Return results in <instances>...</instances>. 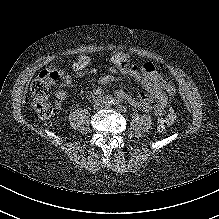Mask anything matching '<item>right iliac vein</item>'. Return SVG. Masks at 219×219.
<instances>
[{"instance_id": "obj_1", "label": "right iliac vein", "mask_w": 219, "mask_h": 219, "mask_svg": "<svg viewBox=\"0 0 219 219\" xmlns=\"http://www.w3.org/2000/svg\"><path fill=\"white\" fill-rule=\"evenodd\" d=\"M101 107H102L101 102H97V103L94 105V108H95V109H100Z\"/></svg>"}]
</instances>
